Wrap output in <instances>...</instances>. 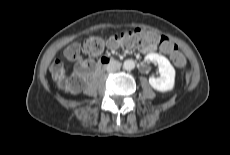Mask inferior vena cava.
<instances>
[{
    "mask_svg": "<svg viewBox=\"0 0 230 155\" xmlns=\"http://www.w3.org/2000/svg\"><path fill=\"white\" fill-rule=\"evenodd\" d=\"M121 67V63L119 61L113 60L106 66V70L108 72H115L119 70Z\"/></svg>",
    "mask_w": 230,
    "mask_h": 155,
    "instance_id": "obj_1",
    "label": "inferior vena cava"
}]
</instances>
